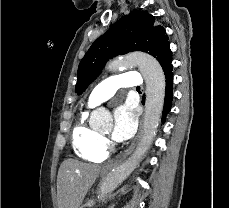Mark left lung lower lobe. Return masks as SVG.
<instances>
[{"label":"left lung lower lobe","mask_w":229,"mask_h":208,"mask_svg":"<svg viewBox=\"0 0 229 208\" xmlns=\"http://www.w3.org/2000/svg\"><path fill=\"white\" fill-rule=\"evenodd\" d=\"M171 61L169 60L163 67V71L165 74L166 79V91H165V100H164V107L162 112V122L164 123L166 120V115L170 111L172 106V98H173V72H172V65Z\"/></svg>","instance_id":"0a47b994"}]
</instances>
